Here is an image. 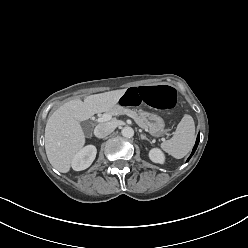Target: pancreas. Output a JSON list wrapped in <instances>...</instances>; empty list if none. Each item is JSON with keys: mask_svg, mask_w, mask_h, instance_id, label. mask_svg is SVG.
Returning <instances> with one entry per match:
<instances>
[{"mask_svg": "<svg viewBox=\"0 0 248 248\" xmlns=\"http://www.w3.org/2000/svg\"><path fill=\"white\" fill-rule=\"evenodd\" d=\"M108 114L115 116V115H127L131 118H133L136 123L142 127L147 128L146 122L144 121L142 115L134 110L124 108L122 106H114L110 110L107 111Z\"/></svg>", "mask_w": 248, "mask_h": 248, "instance_id": "1", "label": "pancreas"}]
</instances>
